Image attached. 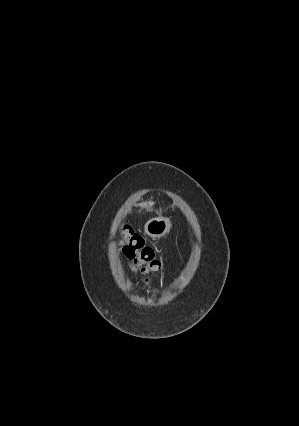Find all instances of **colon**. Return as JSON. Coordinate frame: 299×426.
Listing matches in <instances>:
<instances>
[{
	"label": "colon",
	"instance_id": "1",
	"mask_svg": "<svg viewBox=\"0 0 299 426\" xmlns=\"http://www.w3.org/2000/svg\"><path fill=\"white\" fill-rule=\"evenodd\" d=\"M119 243L124 255L138 267L143 274L146 285L151 283V276L161 266L154 250L147 246L142 236L133 231L130 226H124L120 232Z\"/></svg>",
	"mask_w": 299,
	"mask_h": 426
}]
</instances>
